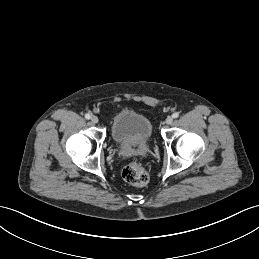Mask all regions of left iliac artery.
<instances>
[{
  "instance_id": "obj_1",
  "label": "left iliac artery",
  "mask_w": 259,
  "mask_h": 259,
  "mask_svg": "<svg viewBox=\"0 0 259 259\" xmlns=\"http://www.w3.org/2000/svg\"><path fill=\"white\" fill-rule=\"evenodd\" d=\"M178 116H179V114H178L177 112H175V113L172 114V117H173V118H178Z\"/></svg>"
}]
</instances>
